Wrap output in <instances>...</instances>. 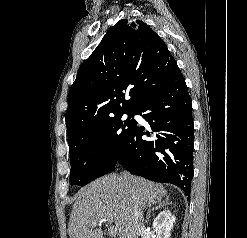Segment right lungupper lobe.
I'll use <instances>...</instances> for the list:
<instances>
[{"label": "right lung upper lobe", "instance_id": "1", "mask_svg": "<svg viewBox=\"0 0 247 238\" xmlns=\"http://www.w3.org/2000/svg\"><path fill=\"white\" fill-rule=\"evenodd\" d=\"M179 70L144 22H117L79 68L65 115L69 146L89 128L135 110ZM129 96V99H125Z\"/></svg>", "mask_w": 247, "mask_h": 238}]
</instances>
